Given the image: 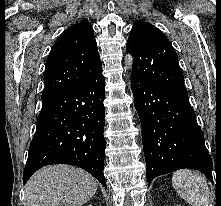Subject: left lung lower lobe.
Here are the masks:
<instances>
[{"instance_id":"1","label":"left lung lower lobe","mask_w":221,"mask_h":206,"mask_svg":"<svg viewBox=\"0 0 221 206\" xmlns=\"http://www.w3.org/2000/svg\"><path fill=\"white\" fill-rule=\"evenodd\" d=\"M134 105L142 125L148 185L159 175L196 169L213 182L212 160L188 95L131 77Z\"/></svg>"}]
</instances>
